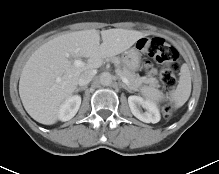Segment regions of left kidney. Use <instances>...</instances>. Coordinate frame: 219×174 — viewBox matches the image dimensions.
I'll list each match as a JSON object with an SVG mask.
<instances>
[{"label": "left kidney", "mask_w": 219, "mask_h": 174, "mask_svg": "<svg viewBox=\"0 0 219 174\" xmlns=\"http://www.w3.org/2000/svg\"><path fill=\"white\" fill-rule=\"evenodd\" d=\"M128 103L132 114L140 121L145 123H157L160 121L159 109L153 102L133 95L128 97ZM140 107L146 111L142 112Z\"/></svg>", "instance_id": "obj_1"}]
</instances>
